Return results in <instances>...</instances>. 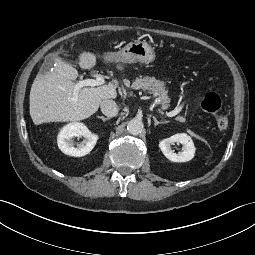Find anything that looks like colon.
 I'll use <instances>...</instances> for the list:
<instances>
[{
	"mask_svg": "<svg viewBox=\"0 0 255 255\" xmlns=\"http://www.w3.org/2000/svg\"><path fill=\"white\" fill-rule=\"evenodd\" d=\"M201 106L204 110L215 116L219 130L224 131L228 128L229 121L227 115L224 113L221 106V100L215 92H206L202 96Z\"/></svg>",
	"mask_w": 255,
	"mask_h": 255,
	"instance_id": "1",
	"label": "colon"
}]
</instances>
